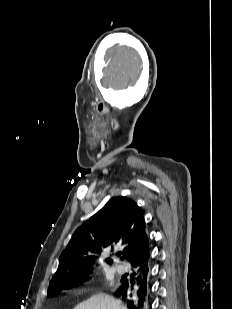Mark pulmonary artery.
Wrapping results in <instances>:
<instances>
[{"label": "pulmonary artery", "mask_w": 232, "mask_h": 309, "mask_svg": "<svg viewBox=\"0 0 232 309\" xmlns=\"http://www.w3.org/2000/svg\"><path fill=\"white\" fill-rule=\"evenodd\" d=\"M115 270L117 273H125L127 271V268L124 265H117L115 266Z\"/></svg>", "instance_id": "1"}]
</instances>
